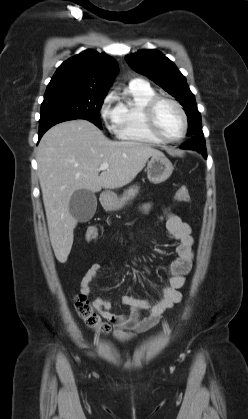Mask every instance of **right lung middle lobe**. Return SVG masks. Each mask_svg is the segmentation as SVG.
Here are the masks:
<instances>
[{"label": "right lung middle lobe", "instance_id": "dd1d6c3e", "mask_svg": "<svg viewBox=\"0 0 248 419\" xmlns=\"http://www.w3.org/2000/svg\"><path fill=\"white\" fill-rule=\"evenodd\" d=\"M106 93L74 88H47L41 105L40 123L57 116L72 115L89 120L102 129L101 106Z\"/></svg>", "mask_w": 248, "mask_h": 419}]
</instances>
